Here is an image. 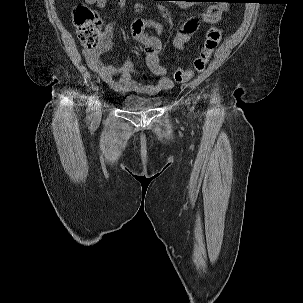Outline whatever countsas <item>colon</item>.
<instances>
[{
  "mask_svg": "<svg viewBox=\"0 0 303 303\" xmlns=\"http://www.w3.org/2000/svg\"><path fill=\"white\" fill-rule=\"evenodd\" d=\"M73 22L77 28L80 43L88 50L94 49L101 37V20L98 15L87 5L77 4L73 10ZM221 31L217 27H211L201 46V52L196 57L193 67H180L174 74L178 83L189 80L195 72H201L206 67L211 55L219 45Z\"/></svg>",
  "mask_w": 303,
  "mask_h": 303,
  "instance_id": "obj_1",
  "label": "colon"
}]
</instances>
